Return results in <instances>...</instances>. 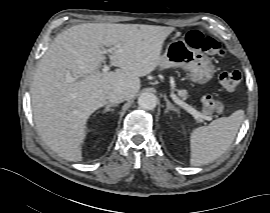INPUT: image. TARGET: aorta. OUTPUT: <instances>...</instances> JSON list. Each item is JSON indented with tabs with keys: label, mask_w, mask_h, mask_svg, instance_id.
I'll use <instances>...</instances> for the list:
<instances>
[{
	"label": "aorta",
	"mask_w": 270,
	"mask_h": 213,
	"mask_svg": "<svg viewBox=\"0 0 270 213\" xmlns=\"http://www.w3.org/2000/svg\"><path fill=\"white\" fill-rule=\"evenodd\" d=\"M138 105L145 110H152L157 105V97L153 93H142L138 98Z\"/></svg>",
	"instance_id": "762f6f07"
}]
</instances>
